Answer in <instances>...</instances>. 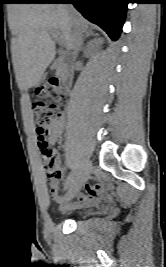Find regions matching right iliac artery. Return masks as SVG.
Returning a JSON list of instances; mask_svg holds the SVG:
<instances>
[{
	"label": "right iliac artery",
	"instance_id": "right-iliac-artery-1",
	"mask_svg": "<svg viewBox=\"0 0 166 267\" xmlns=\"http://www.w3.org/2000/svg\"><path fill=\"white\" fill-rule=\"evenodd\" d=\"M77 174L76 169H74L71 174L68 176L66 182H65V189H67L75 180V176Z\"/></svg>",
	"mask_w": 166,
	"mask_h": 267
}]
</instances>
